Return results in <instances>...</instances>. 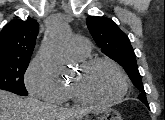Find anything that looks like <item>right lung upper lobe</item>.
<instances>
[{"instance_id": "cb5924a9", "label": "right lung upper lobe", "mask_w": 165, "mask_h": 120, "mask_svg": "<svg viewBox=\"0 0 165 120\" xmlns=\"http://www.w3.org/2000/svg\"><path fill=\"white\" fill-rule=\"evenodd\" d=\"M39 24L35 19H15L0 32V58L30 59L35 47Z\"/></svg>"}]
</instances>
